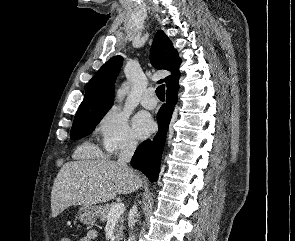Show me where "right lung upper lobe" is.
<instances>
[{
	"mask_svg": "<svg viewBox=\"0 0 295 241\" xmlns=\"http://www.w3.org/2000/svg\"><path fill=\"white\" fill-rule=\"evenodd\" d=\"M151 61L155 68L166 69L174 74L165 78L167 87L178 83V67L181 64V59L172 42L162 30H159L155 35L151 48ZM122 62L123 58L121 56H114L97 71L87 85L84 99L78 110L93 109L112 104L113 84L116 81ZM159 82H163V80Z\"/></svg>",
	"mask_w": 295,
	"mask_h": 241,
	"instance_id": "obj_1",
	"label": "right lung upper lobe"
}]
</instances>
